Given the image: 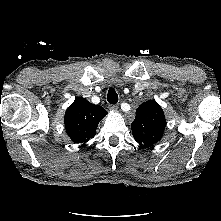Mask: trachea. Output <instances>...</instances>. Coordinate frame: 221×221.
<instances>
[{
	"label": "trachea",
	"instance_id": "obj_1",
	"mask_svg": "<svg viewBox=\"0 0 221 221\" xmlns=\"http://www.w3.org/2000/svg\"><path fill=\"white\" fill-rule=\"evenodd\" d=\"M107 100L110 104H116L118 102V94L114 88L108 90Z\"/></svg>",
	"mask_w": 221,
	"mask_h": 221
}]
</instances>
